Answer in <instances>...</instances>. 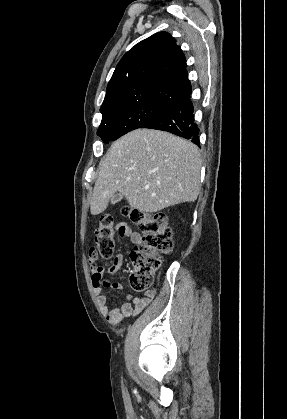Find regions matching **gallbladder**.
<instances>
[{
  "label": "gallbladder",
  "mask_w": 287,
  "mask_h": 419,
  "mask_svg": "<svg viewBox=\"0 0 287 419\" xmlns=\"http://www.w3.org/2000/svg\"><path fill=\"white\" fill-rule=\"evenodd\" d=\"M122 198H123V195L120 194V193L114 195L111 199V204L115 205L116 203L120 202L122 200Z\"/></svg>",
  "instance_id": "1"
}]
</instances>
